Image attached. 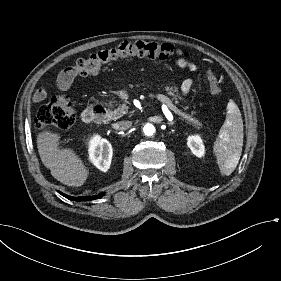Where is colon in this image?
<instances>
[{"instance_id": "1", "label": "colon", "mask_w": 281, "mask_h": 281, "mask_svg": "<svg viewBox=\"0 0 281 281\" xmlns=\"http://www.w3.org/2000/svg\"><path fill=\"white\" fill-rule=\"evenodd\" d=\"M133 57H147L160 61L181 57V51L170 44L156 42H124L116 48L95 52L78 59L73 72L79 76L94 75L109 65ZM206 77L211 92L221 96L222 90L217 77L208 70ZM75 122V112L70 98L65 94H58L42 105L35 116V126L40 131L53 132L67 130Z\"/></svg>"}]
</instances>
